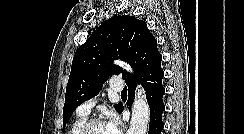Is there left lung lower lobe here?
<instances>
[{
    "label": "left lung lower lobe",
    "instance_id": "0a47b994",
    "mask_svg": "<svg viewBox=\"0 0 244 134\" xmlns=\"http://www.w3.org/2000/svg\"><path fill=\"white\" fill-rule=\"evenodd\" d=\"M164 76V75H163ZM163 76H155L152 78L147 85L144 87L146 91V98L149 103L150 108V123L148 134H161L164 127L162 122V113L165 109L162 97L164 95L165 89L162 85ZM134 88H129L127 105H131L133 101ZM123 111V107L119 112Z\"/></svg>",
    "mask_w": 244,
    "mask_h": 134
}]
</instances>
